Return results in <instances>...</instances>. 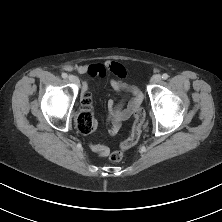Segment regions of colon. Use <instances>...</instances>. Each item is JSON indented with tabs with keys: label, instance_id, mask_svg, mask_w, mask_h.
Returning <instances> with one entry per match:
<instances>
[{
	"label": "colon",
	"instance_id": "obj_1",
	"mask_svg": "<svg viewBox=\"0 0 222 222\" xmlns=\"http://www.w3.org/2000/svg\"><path fill=\"white\" fill-rule=\"evenodd\" d=\"M120 66L118 64H112L110 66L111 69H114L115 67ZM135 121L134 125L131 131L130 136L128 139H126L124 142L121 144V149L122 150H127L134 145L137 144V142L140 139L143 125H144V120H145V111L142 108H139L135 112ZM93 111H92V101H91V96L89 93H85L82 96V108L80 110V113L77 116L76 124L78 130L83 133V134H88L90 132V129L93 124ZM123 158V152L122 151H115L110 155V160L112 162H119Z\"/></svg>",
	"mask_w": 222,
	"mask_h": 222
}]
</instances>
